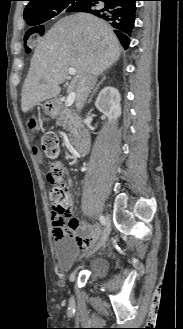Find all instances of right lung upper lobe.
Returning a JSON list of instances; mask_svg holds the SVG:
<instances>
[{
  "label": "right lung upper lobe",
  "instance_id": "right-lung-upper-lobe-1",
  "mask_svg": "<svg viewBox=\"0 0 183 329\" xmlns=\"http://www.w3.org/2000/svg\"><path fill=\"white\" fill-rule=\"evenodd\" d=\"M29 3L24 10V18L38 16L46 13L51 6L63 0H28Z\"/></svg>",
  "mask_w": 183,
  "mask_h": 329
}]
</instances>
